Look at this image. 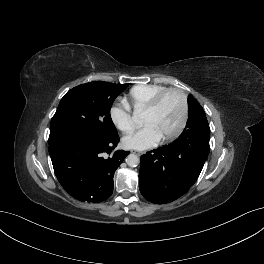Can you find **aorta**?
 Returning a JSON list of instances; mask_svg holds the SVG:
<instances>
[{"mask_svg": "<svg viewBox=\"0 0 264 264\" xmlns=\"http://www.w3.org/2000/svg\"><path fill=\"white\" fill-rule=\"evenodd\" d=\"M137 113H134L133 115V119L136 121L137 120ZM126 163L128 164V166L130 167H136L139 163H140V159L137 155L135 154H130L127 156L126 158Z\"/></svg>", "mask_w": 264, "mask_h": 264, "instance_id": "aorta-1", "label": "aorta"}]
</instances>
